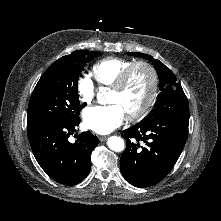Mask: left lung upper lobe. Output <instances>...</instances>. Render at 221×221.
<instances>
[{"mask_svg":"<svg viewBox=\"0 0 221 221\" xmlns=\"http://www.w3.org/2000/svg\"><path fill=\"white\" fill-rule=\"evenodd\" d=\"M128 54L137 56V57L140 56L142 58H147L149 60L153 59L152 56L148 54H144V53L128 52ZM154 66H155L156 71L158 72V76L160 79L159 89L161 90V93L159 94L157 98V102H156L154 110L150 114H148L143 120L154 117L157 113H159V111L164 110L167 107H169L167 106L168 100L173 95H177L179 92L184 93L181 85L179 83H176L177 79L169 68H167L163 63H161L157 59L154 61Z\"/></svg>","mask_w":221,"mask_h":221,"instance_id":"5c2ea615","label":"left lung upper lobe"}]
</instances>
